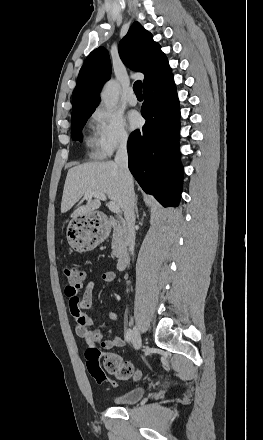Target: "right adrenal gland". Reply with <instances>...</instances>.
Returning a JSON list of instances; mask_svg holds the SVG:
<instances>
[{
  "label": "right adrenal gland",
  "mask_w": 263,
  "mask_h": 440,
  "mask_svg": "<svg viewBox=\"0 0 263 440\" xmlns=\"http://www.w3.org/2000/svg\"><path fill=\"white\" fill-rule=\"evenodd\" d=\"M137 200H138V196L136 195V197H135V211H136V215L138 216Z\"/></svg>",
  "instance_id": "2a0ac1e0"
}]
</instances>
